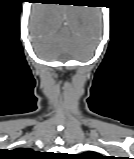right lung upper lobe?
Returning <instances> with one entry per match:
<instances>
[{"label":"right lung upper lobe","mask_w":134,"mask_h":159,"mask_svg":"<svg viewBox=\"0 0 134 159\" xmlns=\"http://www.w3.org/2000/svg\"><path fill=\"white\" fill-rule=\"evenodd\" d=\"M21 150L26 151V152L32 151V150H30V149H21Z\"/></svg>","instance_id":"1"}]
</instances>
